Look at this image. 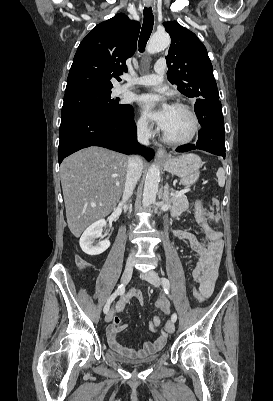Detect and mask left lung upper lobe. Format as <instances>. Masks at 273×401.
Listing matches in <instances>:
<instances>
[{
    "mask_svg": "<svg viewBox=\"0 0 273 401\" xmlns=\"http://www.w3.org/2000/svg\"><path fill=\"white\" fill-rule=\"evenodd\" d=\"M163 25L171 36L166 56L168 80L187 97L218 100L213 67L203 43L176 21Z\"/></svg>",
    "mask_w": 273,
    "mask_h": 401,
    "instance_id": "left-lung-upper-lobe-1",
    "label": "left lung upper lobe"
}]
</instances>
